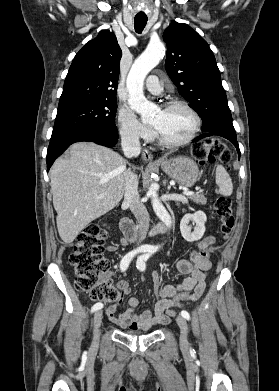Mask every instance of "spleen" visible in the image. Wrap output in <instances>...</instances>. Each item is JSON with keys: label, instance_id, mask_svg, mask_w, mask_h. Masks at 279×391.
<instances>
[{"label": "spleen", "instance_id": "spleen-1", "mask_svg": "<svg viewBox=\"0 0 279 391\" xmlns=\"http://www.w3.org/2000/svg\"><path fill=\"white\" fill-rule=\"evenodd\" d=\"M216 184L219 187V193L223 196H230L233 192L232 180L222 165L216 167Z\"/></svg>", "mask_w": 279, "mask_h": 391}]
</instances>
